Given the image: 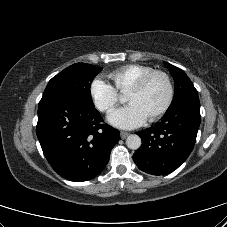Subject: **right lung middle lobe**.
I'll use <instances>...</instances> for the list:
<instances>
[{
	"mask_svg": "<svg viewBox=\"0 0 227 227\" xmlns=\"http://www.w3.org/2000/svg\"><path fill=\"white\" fill-rule=\"evenodd\" d=\"M101 70L102 68L87 63L73 64L49 81L42 99L54 95H69L83 104L94 106L89 89Z\"/></svg>",
	"mask_w": 227,
	"mask_h": 227,
	"instance_id": "right-lung-middle-lobe-1",
	"label": "right lung middle lobe"
}]
</instances>
